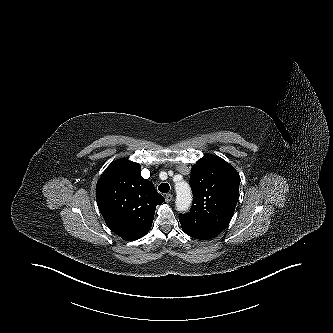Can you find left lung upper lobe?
Masks as SVG:
<instances>
[{
	"mask_svg": "<svg viewBox=\"0 0 333 333\" xmlns=\"http://www.w3.org/2000/svg\"><path fill=\"white\" fill-rule=\"evenodd\" d=\"M240 176L225 160L206 155L192 167L193 205L179 215L185 232L211 239L229 224L239 197Z\"/></svg>",
	"mask_w": 333,
	"mask_h": 333,
	"instance_id": "obj_1",
	"label": "left lung upper lobe"
}]
</instances>
